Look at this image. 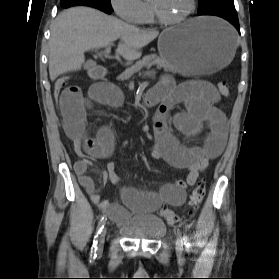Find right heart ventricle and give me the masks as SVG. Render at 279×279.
Masks as SVG:
<instances>
[{"label":"right heart ventricle","mask_w":279,"mask_h":279,"mask_svg":"<svg viewBox=\"0 0 279 279\" xmlns=\"http://www.w3.org/2000/svg\"><path fill=\"white\" fill-rule=\"evenodd\" d=\"M154 21H155V19L152 14L151 8H150L149 4H146V11H145V14L142 17L140 23L149 24V23H153Z\"/></svg>","instance_id":"e07e8e85"}]
</instances>
